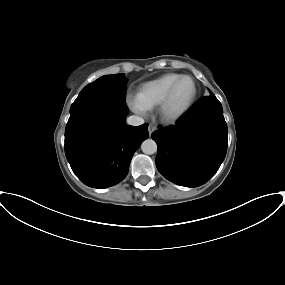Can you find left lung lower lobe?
Masks as SVG:
<instances>
[{
    "instance_id": "obj_1",
    "label": "left lung lower lobe",
    "mask_w": 285,
    "mask_h": 285,
    "mask_svg": "<svg viewBox=\"0 0 285 285\" xmlns=\"http://www.w3.org/2000/svg\"><path fill=\"white\" fill-rule=\"evenodd\" d=\"M158 171L169 181L186 187L206 183L223 162L228 144L223 109L214 94L200 99L174 126L158 127Z\"/></svg>"
}]
</instances>
